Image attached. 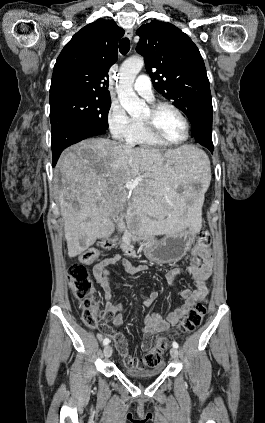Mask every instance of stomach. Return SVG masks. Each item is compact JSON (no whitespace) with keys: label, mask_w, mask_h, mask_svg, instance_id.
<instances>
[{"label":"stomach","mask_w":265,"mask_h":423,"mask_svg":"<svg viewBox=\"0 0 265 423\" xmlns=\"http://www.w3.org/2000/svg\"><path fill=\"white\" fill-rule=\"evenodd\" d=\"M195 240L192 228H185L177 233H168L159 240H150L145 244V256L157 263H169L181 259Z\"/></svg>","instance_id":"obj_1"}]
</instances>
